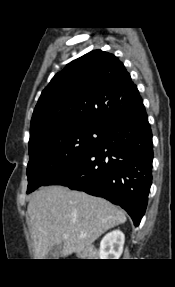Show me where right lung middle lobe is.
Wrapping results in <instances>:
<instances>
[{
    "instance_id": "obj_1",
    "label": "right lung middle lobe",
    "mask_w": 175,
    "mask_h": 287,
    "mask_svg": "<svg viewBox=\"0 0 175 287\" xmlns=\"http://www.w3.org/2000/svg\"><path fill=\"white\" fill-rule=\"evenodd\" d=\"M102 131L101 125L85 124L30 143L27 193L45 185L86 157L98 144Z\"/></svg>"
}]
</instances>
